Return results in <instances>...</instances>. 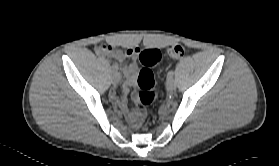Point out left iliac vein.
Segmentation results:
<instances>
[{
  "instance_id": "left-iliac-vein-1",
  "label": "left iliac vein",
  "mask_w": 279,
  "mask_h": 166,
  "mask_svg": "<svg viewBox=\"0 0 279 166\" xmlns=\"http://www.w3.org/2000/svg\"><path fill=\"white\" fill-rule=\"evenodd\" d=\"M167 90L172 92L176 89V83L173 78H168L166 83Z\"/></svg>"
}]
</instances>
